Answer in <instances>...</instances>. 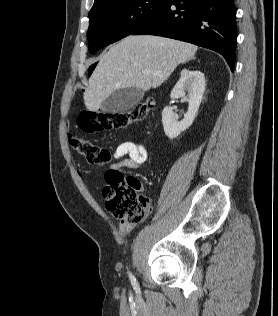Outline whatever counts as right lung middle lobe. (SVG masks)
I'll list each match as a JSON object with an SVG mask.
<instances>
[{
	"label": "right lung middle lobe",
	"mask_w": 278,
	"mask_h": 316,
	"mask_svg": "<svg viewBox=\"0 0 278 316\" xmlns=\"http://www.w3.org/2000/svg\"><path fill=\"white\" fill-rule=\"evenodd\" d=\"M165 0H107L89 12V51L96 52L140 28ZM92 70H89L91 74Z\"/></svg>",
	"instance_id": "right-lung-middle-lobe-1"
}]
</instances>
